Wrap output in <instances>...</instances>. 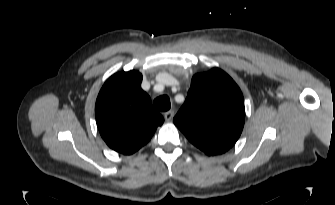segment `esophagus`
Listing matches in <instances>:
<instances>
[{
    "label": "esophagus",
    "mask_w": 335,
    "mask_h": 205,
    "mask_svg": "<svg viewBox=\"0 0 335 205\" xmlns=\"http://www.w3.org/2000/svg\"><path fill=\"white\" fill-rule=\"evenodd\" d=\"M174 111L170 110L164 113V118L167 122H170L173 119Z\"/></svg>",
    "instance_id": "1"
}]
</instances>
